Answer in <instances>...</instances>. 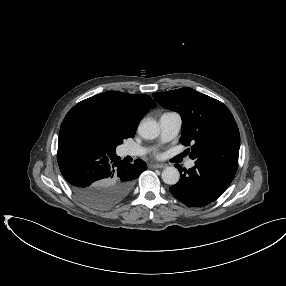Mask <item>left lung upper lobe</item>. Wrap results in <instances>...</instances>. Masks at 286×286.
<instances>
[{
  "label": "left lung upper lobe",
  "mask_w": 286,
  "mask_h": 286,
  "mask_svg": "<svg viewBox=\"0 0 286 286\" xmlns=\"http://www.w3.org/2000/svg\"><path fill=\"white\" fill-rule=\"evenodd\" d=\"M152 95L162 107L181 115L180 141L186 146L192 144L190 158L196 164L236 173L240 135L233 115L223 103L189 87Z\"/></svg>",
  "instance_id": "1"
}]
</instances>
